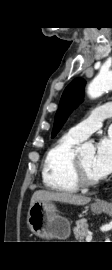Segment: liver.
<instances>
[{"label":"liver","mask_w":112,"mask_h":270,"mask_svg":"<svg viewBox=\"0 0 112 270\" xmlns=\"http://www.w3.org/2000/svg\"><path fill=\"white\" fill-rule=\"evenodd\" d=\"M36 201H59L72 205H86L91 201L90 197L76 195L68 192H53L46 190L35 191L32 195L30 206Z\"/></svg>","instance_id":"liver-1"}]
</instances>
